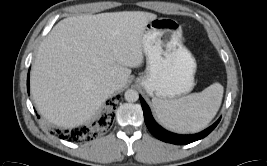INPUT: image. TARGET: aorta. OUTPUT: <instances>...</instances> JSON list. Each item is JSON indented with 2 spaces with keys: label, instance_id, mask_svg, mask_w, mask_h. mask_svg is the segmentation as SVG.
<instances>
[{
  "label": "aorta",
  "instance_id": "1",
  "mask_svg": "<svg viewBox=\"0 0 267 166\" xmlns=\"http://www.w3.org/2000/svg\"><path fill=\"white\" fill-rule=\"evenodd\" d=\"M125 100L128 102H136L139 98V94L136 90L134 89H128L125 92Z\"/></svg>",
  "mask_w": 267,
  "mask_h": 166
}]
</instances>
